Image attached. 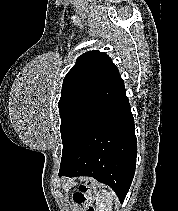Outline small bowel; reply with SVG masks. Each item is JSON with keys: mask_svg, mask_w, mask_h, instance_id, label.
<instances>
[{"mask_svg": "<svg viewBox=\"0 0 178 211\" xmlns=\"http://www.w3.org/2000/svg\"><path fill=\"white\" fill-rule=\"evenodd\" d=\"M74 211H84V209H82V208H79L78 206H75V209H74Z\"/></svg>", "mask_w": 178, "mask_h": 211, "instance_id": "small-bowel-1", "label": "small bowel"}]
</instances>
